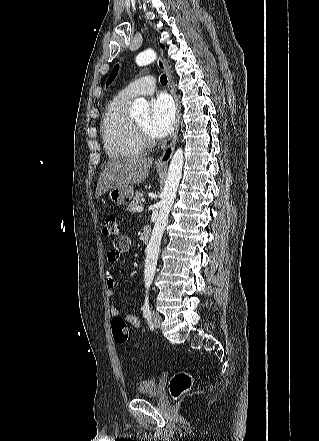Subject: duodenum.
Wrapping results in <instances>:
<instances>
[{
  "instance_id": "obj_1",
  "label": "duodenum",
  "mask_w": 319,
  "mask_h": 441,
  "mask_svg": "<svg viewBox=\"0 0 319 441\" xmlns=\"http://www.w3.org/2000/svg\"><path fill=\"white\" fill-rule=\"evenodd\" d=\"M151 236V228L149 226H144L142 231V240L144 243H148Z\"/></svg>"
}]
</instances>
